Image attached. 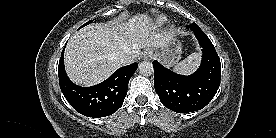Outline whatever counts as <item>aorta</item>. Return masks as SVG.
<instances>
[{
    "label": "aorta",
    "mask_w": 276,
    "mask_h": 138,
    "mask_svg": "<svg viewBox=\"0 0 276 138\" xmlns=\"http://www.w3.org/2000/svg\"><path fill=\"white\" fill-rule=\"evenodd\" d=\"M139 72L144 76H149L153 73V64L149 61H143L139 64Z\"/></svg>",
    "instance_id": "762f6f07"
}]
</instances>
